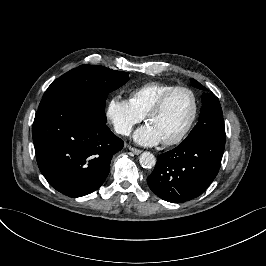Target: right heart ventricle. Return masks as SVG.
I'll return each instance as SVG.
<instances>
[{
    "instance_id": "1",
    "label": "right heart ventricle",
    "mask_w": 266,
    "mask_h": 266,
    "mask_svg": "<svg viewBox=\"0 0 266 266\" xmlns=\"http://www.w3.org/2000/svg\"><path fill=\"white\" fill-rule=\"evenodd\" d=\"M175 86L167 82H148L134 88L130 93V101L135 109L143 116L149 108L158 100L162 93Z\"/></svg>"
}]
</instances>
